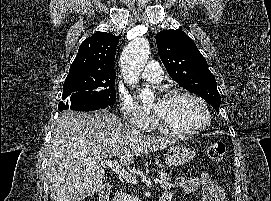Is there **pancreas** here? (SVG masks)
<instances>
[{"label": "pancreas", "mask_w": 271, "mask_h": 201, "mask_svg": "<svg viewBox=\"0 0 271 201\" xmlns=\"http://www.w3.org/2000/svg\"><path fill=\"white\" fill-rule=\"evenodd\" d=\"M161 188L163 190H169L171 188H174L175 186L170 183V177L167 174H161L160 175V182H159Z\"/></svg>", "instance_id": "pancreas-1"}]
</instances>
